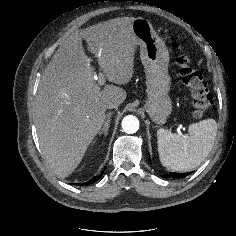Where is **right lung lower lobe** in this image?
Here are the masks:
<instances>
[{"label": "right lung lower lobe", "instance_id": "1", "mask_svg": "<svg viewBox=\"0 0 236 236\" xmlns=\"http://www.w3.org/2000/svg\"><path fill=\"white\" fill-rule=\"evenodd\" d=\"M102 174H103V172H102L100 175L93 177L92 179H90V180L87 182V184H91V183L97 181V180L102 176ZM78 185H81V184H78Z\"/></svg>", "mask_w": 236, "mask_h": 236}]
</instances>
